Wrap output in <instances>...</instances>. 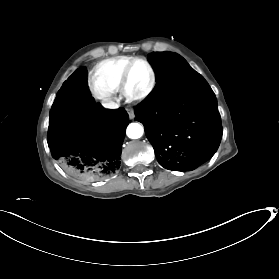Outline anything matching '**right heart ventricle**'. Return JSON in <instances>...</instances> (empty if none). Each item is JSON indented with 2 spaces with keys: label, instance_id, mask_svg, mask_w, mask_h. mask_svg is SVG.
<instances>
[{
  "label": "right heart ventricle",
  "instance_id": "e07e8e85",
  "mask_svg": "<svg viewBox=\"0 0 279 279\" xmlns=\"http://www.w3.org/2000/svg\"><path fill=\"white\" fill-rule=\"evenodd\" d=\"M131 56H116L99 62L91 72V83L108 93L120 90V80L125 64Z\"/></svg>",
  "mask_w": 279,
  "mask_h": 279
}]
</instances>
